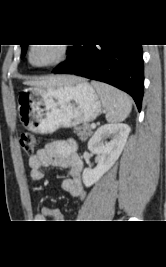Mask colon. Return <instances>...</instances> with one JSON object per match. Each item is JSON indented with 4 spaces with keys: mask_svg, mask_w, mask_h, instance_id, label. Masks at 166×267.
I'll use <instances>...</instances> for the list:
<instances>
[{
    "mask_svg": "<svg viewBox=\"0 0 166 267\" xmlns=\"http://www.w3.org/2000/svg\"><path fill=\"white\" fill-rule=\"evenodd\" d=\"M19 143H20L22 150L27 155L34 154L36 147H37V139L33 134L28 133V132L22 133L19 139Z\"/></svg>",
    "mask_w": 166,
    "mask_h": 267,
    "instance_id": "colon-1",
    "label": "colon"
}]
</instances>
